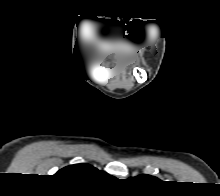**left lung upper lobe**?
Listing matches in <instances>:
<instances>
[{
  "instance_id": "5c2ea615",
  "label": "left lung upper lobe",
  "mask_w": 220,
  "mask_h": 196,
  "mask_svg": "<svg viewBox=\"0 0 220 196\" xmlns=\"http://www.w3.org/2000/svg\"><path fill=\"white\" fill-rule=\"evenodd\" d=\"M130 179L137 180V181H140V182H147V181L154 180L156 178L152 177V176H149V175H139L138 177H134V178H130Z\"/></svg>"
}]
</instances>
